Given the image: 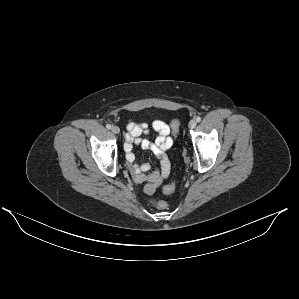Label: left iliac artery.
<instances>
[{
	"label": "left iliac artery",
	"instance_id": "1",
	"mask_svg": "<svg viewBox=\"0 0 299 299\" xmlns=\"http://www.w3.org/2000/svg\"><path fill=\"white\" fill-rule=\"evenodd\" d=\"M196 121H197V122H200V121H201V117L198 116V117L196 118Z\"/></svg>",
	"mask_w": 299,
	"mask_h": 299
}]
</instances>
